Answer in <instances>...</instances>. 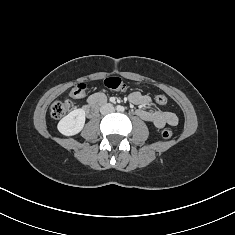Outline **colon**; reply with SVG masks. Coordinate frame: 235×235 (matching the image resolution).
<instances>
[{
	"label": "colon",
	"instance_id": "5ec220e1",
	"mask_svg": "<svg viewBox=\"0 0 235 235\" xmlns=\"http://www.w3.org/2000/svg\"><path fill=\"white\" fill-rule=\"evenodd\" d=\"M103 84L106 88L115 91H125L128 88L127 85L118 77L106 78ZM85 92L86 85L78 84L70 90L69 96L72 99H80L84 97ZM155 101L158 105L164 106L167 104L168 100L165 95L159 94L155 97ZM73 106V101L68 98L64 100L55 101L50 108L51 116L55 119L62 118L73 109ZM172 135L173 131L169 128H166L162 131V136L166 139L172 137Z\"/></svg>",
	"mask_w": 235,
	"mask_h": 235
}]
</instances>
